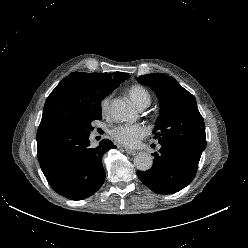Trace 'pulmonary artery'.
<instances>
[{"instance_id":"pulmonary-artery-1","label":"pulmonary artery","mask_w":248,"mask_h":248,"mask_svg":"<svg viewBox=\"0 0 248 248\" xmlns=\"http://www.w3.org/2000/svg\"><path fill=\"white\" fill-rule=\"evenodd\" d=\"M147 106L146 105H144V106H141V107H139L141 110H143V109H145Z\"/></svg>"}]
</instances>
